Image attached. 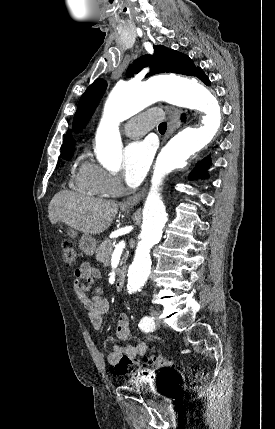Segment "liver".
Here are the masks:
<instances>
[{
	"label": "liver",
	"instance_id": "obj_1",
	"mask_svg": "<svg viewBox=\"0 0 275 429\" xmlns=\"http://www.w3.org/2000/svg\"><path fill=\"white\" fill-rule=\"evenodd\" d=\"M48 213L52 224L62 222L85 234L96 235L111 226L118 213V204L62 190L52 198Z\"/></svg>",
	"mask_w": 275,
	"mask_h": 429
}]
</instances>
